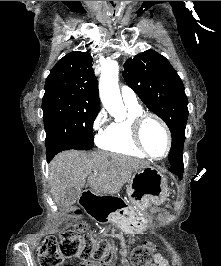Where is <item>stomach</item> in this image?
Masks as SVG:
<instances>
[{
    "mask_svg": "<svg viewBox=\"0 0 221 266\" xmlns=\"http://www.w3.org/2000/svg\"><path fill=\"white\" fill-rule=\"evenodd\" d=\"M127 194L132 207L119 212L117 216L134 229L144 228L148 224L147 209L152 205H161L166 200L167 179L158 168L146 166L133 174Z\"/></svg>",
    "mask_w": 221,
    "mask_h": 266,
    "instance_id": "obj_1",
    "label": "stomach"
}]
</instances>
